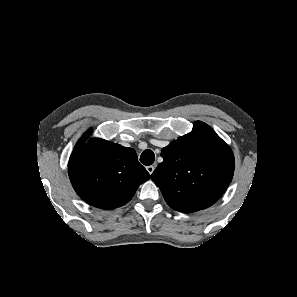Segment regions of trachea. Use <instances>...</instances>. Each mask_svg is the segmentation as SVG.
<instances>
[{
  "instance_id": "obj_1",
  "label": "trachea",
  "mask_w": 297,
  "mask_h": 297,
  "mask_svg": "<svg viewBox=\"0 0 297 297\" xmlns=\"http://www.w3.org/2000/svg\"><path fill=\"white\" fill-rule=\"evenodd\" d=\"M154 160H155L154 152L149 149L143 151L140 156V162L146 166L152 165L154 163Z\"/></svg>"
}]
</instances>
